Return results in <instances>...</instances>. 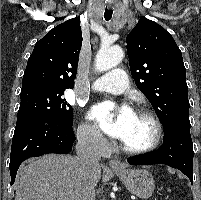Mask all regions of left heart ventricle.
Listing matches in <instances>:
<instances>
[{"mask_svg":"<svg viewBox=\"0 0 201 200\" xmlns=\"http://www.w3.org/2000/svg\"><path fill=\"white\" fill-rule=\"evenodd\" d=\"M155 129L152 122L141 115H133L122 142L132 148L148 145L154 138Z\"/></svg>","mask_w":201,"mask_h":200,"instance_id":"1","label":"left heart ventricle"}]
</instances>
